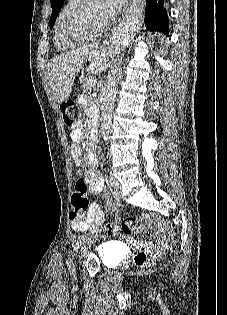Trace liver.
Segmentation results:
<instances>
[{
  "label": "liver",
  "instance_id": "6515ba94",
  "mask_svg": "<svg viewBox=\"0 0 227 315\" xmlns=\"http://www.w3.org/2000/svg\"><path fill=\"white\" fill-rule=\"evenodd\" d=\"M95 48V49H94ZM93 54L98 71L107 67L108 52L97 46L82 47L54 57L48 69V78L58 103L66 101L71 93L75 77L84 66L87 56Z\"/></svg>",
  "mask_w": 227,
  "mask_h": 315
}]
</instances>
